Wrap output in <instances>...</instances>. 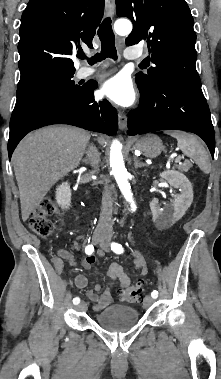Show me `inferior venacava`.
Masks as SVG:
<instances>
[{"mask_svg":"<svg viewBox=\"0 0 221 379\" xmlns=\"http://www.w3.org/2000/svg\"><path fill=\"white\" fill-rule=\"evenodd\" d=\"M87 156L92 167L97 168L100 162V153L98 150L94 146H90L87 151ZM112 226V198L110 191L105 190L102 197V211L100 214L97 229L111 231Z\"/></svg>","mask_w":221,"mask_h":379,"instance_id":"obj_1","label":"inferior vena cava"}]
</instances>
